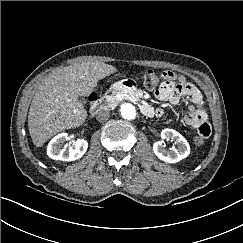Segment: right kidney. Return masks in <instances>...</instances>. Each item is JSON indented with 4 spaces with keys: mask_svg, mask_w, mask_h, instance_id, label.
I'll return each instance as SVG.
<instances>
[{
    "mask_svg": "<svg viewBox=\"0 0 243 243\" xmlns=\"http://www.w3.org/2000/svg\"><path fill=\"white\" fill-rule=\"evenodd\" d=\"M68 140L67 133L56 135L47 146V155L54 160L74 161L80 159L88 148V142L84 139H78L72 144L62 148V143Z\"/></svg>",
    "mask_w": 243,
    "mask_h": 243,
    "instance_id": "right-kidney-1",
    "label": "right kidney"
}]
</instances>
